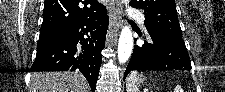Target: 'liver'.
<instances>
[{"label": "liver", "instance_id": "6515ba94", "mask_svg": "<svg viewBox=\"0 0 225 92\" xmlns=\"http://www.w3.org/2000/svg\"><path fill=\"white\" fill-rule=\"evenodd\" d=\"M29 92H90V87L79 72H35Z\"/></svg>", "mask_w": 225, "mask_h": 92}]
</instances>
